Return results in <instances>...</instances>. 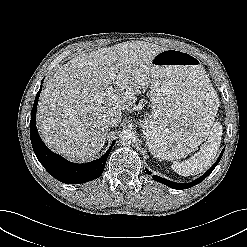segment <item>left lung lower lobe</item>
<instances>
[{
  "mask_svg": "<svg viewBox=\"0 0 247 247\" xmlns=\"http://www.w3.org/2000/svg\"><path fill=\"white\" fill-rule=\"evenodd\" d=\"M223 152L224 150L221 152L219 158L217 159V161L214 163V165L205 173L203 174L201 177H199L198 179L190 182V183H186V184H182V183H176V182H172V181H169V180H166L164 178H161L159 176H156V175H153L152 178L155 180V181H158L160 183H163L171 188H174V189H187V188H190V187H193L197 184H199L200 182H202L213 170L214 168L217 166V164L219 163L222 155H223ZM146 172L151 175V172L146 169Z\"/></svg>",
  "mask_w": 247,
  "mask_h": 247,
  "instance_id": "1",
  "label": "left lung lower lobe"
}]
</instances>
